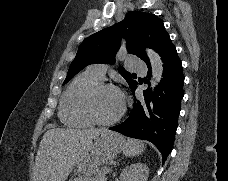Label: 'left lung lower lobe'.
<instances>
[{"label": "left lung lower lobe", "instance_id": "obj_1", "mask_svg": "<svg viewBox=\"0 0 228 181\" xmlns=\"http://www.w3.org/2000/svg\"><path fill=\"white\" fill-rule=\"evenodd\" d=\"M156 52L163 62V78L159 85L154 89V93L149 87L144 90V98L134 96V105L129 117L109 129L128 137L152 142L161 152L164 163L175 139L180 102L184 95V75L181 60L170 37L158 46ZM145 62L148 66V75L143 82L150 84L151 65L149 59ZM138 84L136 82L130 86L133 94Z\"/></svg>", "mask_w": 228, "mask_h": 181}]
</instances>
